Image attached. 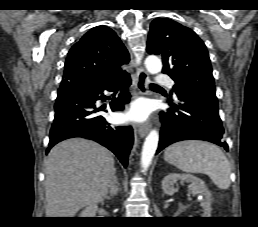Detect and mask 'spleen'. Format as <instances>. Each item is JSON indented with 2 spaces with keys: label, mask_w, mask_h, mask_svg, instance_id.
I'll return each instance as SVG.
<instances>
[{
  "label": "spleen",
  "mask_w": 258,
  "mask_h": 227,
  "mask_svg": "<svg viewBox=\"0 0 258 227\" xmlns=\"http://www.w3.org/2000/svg\"><path fill=\"white\" fill-rule=\"evenodd\" d=\"M164 159L184 172L206 174L222 190L230 187V163L214 144L199 140L180 141L166 148Z\"/></svg>",
  "instance_id": "obj_1"
}]
</instances>
